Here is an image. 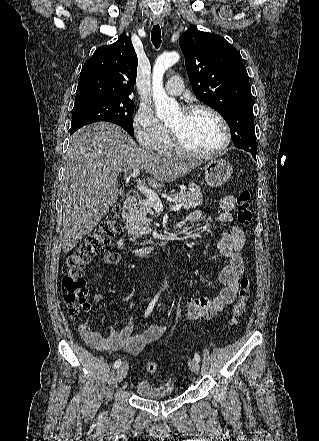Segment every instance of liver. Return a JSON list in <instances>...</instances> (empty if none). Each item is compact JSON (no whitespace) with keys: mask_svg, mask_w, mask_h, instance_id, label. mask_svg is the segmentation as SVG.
Masks as SVG:
<instances>
[{"mask_svg":"<svg viewBox=\"0 0 319 441\" xmlns=\"http://www.w3.org/2000/svg\"><path fill=\"white\" fill-rule=\"evenodd\" d=\"M201 163L141 149L121 127L97 122L76 131L64 157L61 183L62 248L70 252L109 212L118 198L120 172L145 169L149 185L160 188Z\"/></svg>","mask_w":319,"mask_h":441,"instance_id":"1","label":"liver"}]
</instances>
